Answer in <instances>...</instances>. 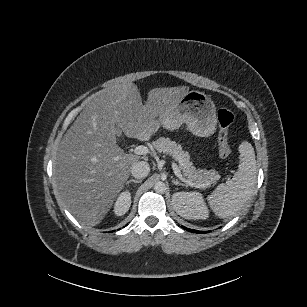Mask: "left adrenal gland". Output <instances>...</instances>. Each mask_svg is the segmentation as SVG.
Instances as JSON below:
<instances>
[{"mask_svg": "<svg viewBox=\"0 0 307 307\" xmlns=\"http://www.w3.org/2000/svg\"><path fill=\"white\" fill-rule=\"evenodd\" d=\"M172 183H173V184H177V185L187 186V184H185V183H183V182H181V181H178V179H173V180H172Z\"/></svg>", "mask_w": 307, "mask_h": 307, "instance_id": "obj_1", "label": "left adrenal gland"}]
</instances>
